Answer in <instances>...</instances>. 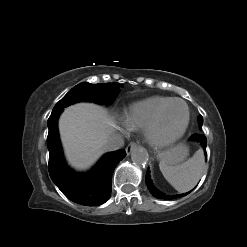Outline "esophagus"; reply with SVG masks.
Wrapping results in <instances>:
<instances>
[{"label":"esophagus","mask_w":247,"mask_h":247,"mask_svg":"<svg viewBox=\"0 0 247 247\" xmlns=\"http://www.w3.org/2000/svg\"><path fill=\"white\" fill-rule=\"evenodd\" d=\"M136 147H137V143H135V142L129 143L127 145V147H126V153H127V155H129L133 150H135Z\"/></svg>","instance_id":"obj_1"}]
</instances>
